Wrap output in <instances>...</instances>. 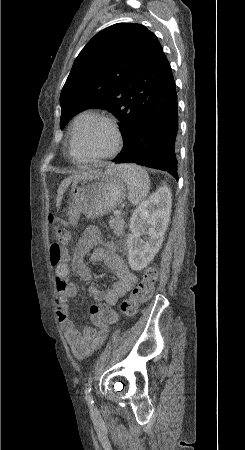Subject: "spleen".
Here are the masks:
<instances>
[{
    "instance_id": "obj_1",
    "label": "spleen",
    "mask_w": 245,
    "mask_h": 450,
    "mask_svg": "<svg viewBox=\"0 0 245 450\" xmlns=\"http://www.w3.org/2000/svg\"><path fill=\"white\" fill-rule=\"evenodd\" d=\"M116 167L127 183L129 201L133 205L141 204L148 196L150 190V179L147 172L134 164H121Z\"/></svg>"
}]
</instances>
